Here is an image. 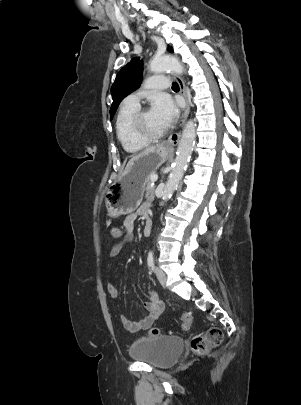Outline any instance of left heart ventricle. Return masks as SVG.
Instances as JSON below:
<instances>
[{
  "label": "left heart ventricle",
  "instance_id": "obj_1",
  "mask_svg": "<svg viewBox=\"0 0 301 405\" xmlns=\"http://www.w3.org/2000/svg\"><path fill=\"white\" fill-rule=\"evenodd\" d=\"M142 126L146 132L152 134L159 133L167 127L151 110L144 114Z\"/></svg>",
  "mask_w": 301,
  "mask_h": 405
}]
</instances>
